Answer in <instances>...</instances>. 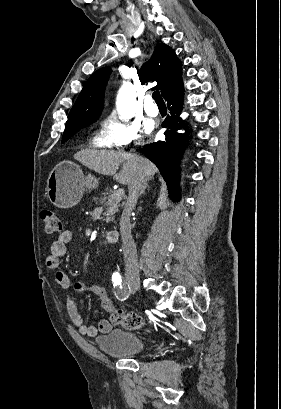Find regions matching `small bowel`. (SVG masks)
<instances>
[{"instance_id":"1","label":"small bowel","mask_w":281,"mask_h":409,"mask_svg":"<svg viewBox=\"0 0 281 409\" xmlns=\"http://www.w3.org/2000/svg\"><path fill=\"white\" fill-rule=\"evenodd\" d=\"M71 239V231L65 230L61 232L57 239L52 243L50 254L46 259V266L49 269L56 271L55 280L65 291H69L73 284L69 275L65 271L59 270L58 268L60 258L66 253V246ZM75 287L81 291L89 292L95 295L100 300L103 308L111 313V316L117 311L114 308L113 302L104 287L97 285H85L81 283H76ZM66 309L71 322L83 336L95 337L99 334H107L112 331L114 325H117V323L114 322L111 317L110 319L101 320L97 326L87 325L80 312L76 299L70 294H68L66 297Z\"/></svg>"}]
</instances>
